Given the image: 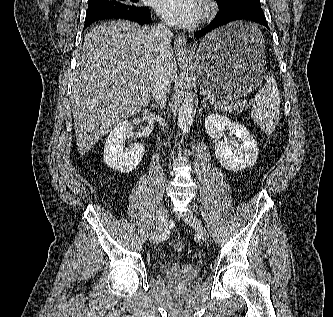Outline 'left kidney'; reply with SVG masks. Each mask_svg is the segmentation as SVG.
Instances as JSON below:
<instances>
[{
    "mask_svg": "<svg viewBox=\"0 0 333 317\" xmlns=\"http://www.w3.org/2000/svg\"><path fill=\"white\" fill-rule=\"evenodd\" d=\"M205 128L208 135L216 141L215 155L223 168L237 172L255 164L259 149L244 125L233 122L224 115L209 114L205 118ZM227 130L236 136V141L222 139Z\"/></svg>",
    "mask_w": 333,
    "mask_h": 317,
    "instance_id": "5707ae66",
    "label": "left kidney"
}]
</instances>
